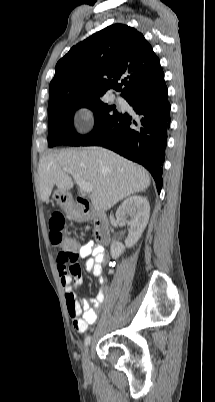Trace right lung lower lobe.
I'll use <instances>...</instances> for the list:
<instances>
[{
  "label": "right lung lower lobe",
  "mask_w": 215,
  "mask_h": 402,
  "mask_svg": "<svg viewBox=\"0 0 215 402\" xmlns=\"http://www.w3.org/2000/svg\"><path fill=\"white\" fill-rule=\"evenodd\" d=\"M167 92L164 82L156 88L131 93L125 99L138 116L121 112L100 132L86 135L80 145L103 146L143 165L152 174L160 193L171 122Z\"/></svg>",
  "instance_id": "98d812e1"
}]
</instances>
